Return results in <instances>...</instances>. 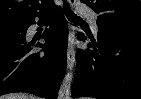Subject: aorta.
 I'll return each instance as SVG.
<instances>
[{
  "label": "aorta",
  "instance_id": "1",
  "mask_svg": "<svg viewBox=\"0 0 141 99\" xmlns=\"http://www.w3.org/2000/svg\"><path fill=\"white\" fill-rule=\"evenodd\" d=\"M73 72H68L61 85L58 92V99H70V89H71V83L73 81Z\"/></svg>",
  "mask_w": 141,
  "mask_h": 99
}]
</instances>
